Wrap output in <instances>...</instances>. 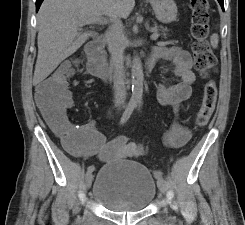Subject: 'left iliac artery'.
<instances>
[{
  "label": "left iliac artery",
  "mask_w": 245,
  "mask_h": 225,
  "mask_svg": "<svg viewBox=\"0 0 245 225\" xmlns=\"http://www.w3.org/2000/svg\"><path fill=\"white\" fill-rule=\"evenodd\" d=\"M139 106H141V102L138 103ZM155 177L159 180L160 178H162V172H156L155 173Z\"/></svg>",
  "instance_id": "obj_1"
}]
</instances>
